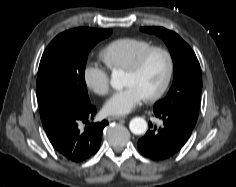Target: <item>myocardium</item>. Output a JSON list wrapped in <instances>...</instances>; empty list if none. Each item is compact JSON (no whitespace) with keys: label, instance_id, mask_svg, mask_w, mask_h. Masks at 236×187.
Here are the masks:
<instances>
[{"label":"myocardium","instance_id":"f54148a6","mask_svg":"<svg viewBox=\"0 0 236 187\" xmlns=\"http://www.w3.org/2000/svg\"><path fill=\"white\" fill-rule=\"evenodd\" d=\"M155 53H161L167 62V70H166V75L163 83L161 86L153 93L146 95L144 99L146 101H155L159 98H161L166 91L168 90L172 79L174 75V69H175V63H174V58L169 50L163 47H151L147 49L146 51L142 52L140 55H138L134 61L131 63V65L126 69L127 72H130L132 74H137L141 71L143 68L144 64L148 60V58L155 54Z\"/></svg>","mask_w":236,"mask_h":187}]
</instances>
